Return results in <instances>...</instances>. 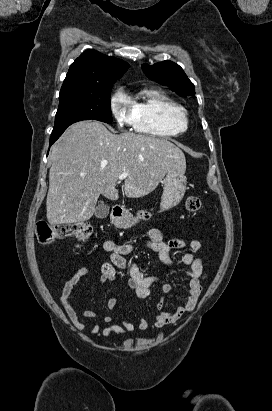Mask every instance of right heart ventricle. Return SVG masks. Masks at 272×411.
<instances>
[{
	"instance_id": "1",
	"label": "right heart ventricle",
	"mask_w": 272,
	"mask_h": 411,
	"mask_svg": "<svg viewBox=\"0 0 272 411\" xmlns=\"http://www.w3.org/2000/svg\"><path fill=\"white\" fill-rule=\"evenodd\" d=\"M127 97L132 105L133 126L137 132L170 137L187 129L186 110L164 93L146 89Z\"/></svg>"
}]
</instances>
